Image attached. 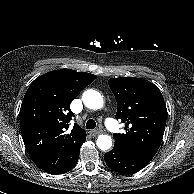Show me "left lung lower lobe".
I'll list each match as a JSON object with an SVG mask.
<instances>
[{"mask_svg":"<svg viewBox=\"0 0 194 194\" xmlns=\"http://www.w3.org/2000/svg\"><path fill=\"white\" fill-rule=\"evenodd\" d=\"M104 159L111 170L121 174L136 173L150 162L115 146L105 153Z\"/></svg>","mask_w":194,"mask_h":194,"instance_id":"0a47b994","label":"left lung lower lobe"}]
</instances>
